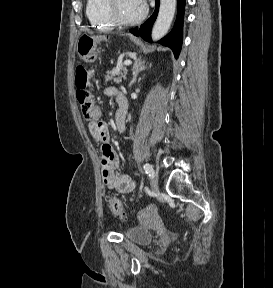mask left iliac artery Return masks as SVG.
<instances>
[{
    "label": "left iliac artery",
    "mask_w": 273,
    "mask_h": 288,
    "mask_svg": "<svg viewBox=\"0 0 273 288\" xmlns=\"http://www.w3.org/2000/svg\"><path fill=\"white\" fill-rule=\"evenodd\" d=\"M143 170H144V172H145L146 174H148L150 177H152V175L154 174L153 167H152L150 164H148V163L144 164Z\"/></svg>",
    "instance_id": "left-iliac-artery-1"
}]
</instances>
